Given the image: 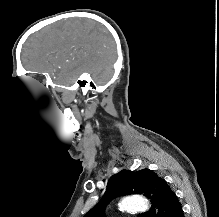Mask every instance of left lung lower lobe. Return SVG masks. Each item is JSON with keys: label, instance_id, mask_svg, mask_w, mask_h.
Masks as SVG:
<instances>
[{"label": "left lung lower lobe", "instance_id": "obj_1", "mask_svg": "<svg viewBox=\"0 0 219 217\" xmlns=\"http://www.w3.org/2000/svg\"><path fill=\"white\" fill-rule=\"evenodd\" d=\"M172 217H184V213H183L181 205L177 206V208H176L174 214L172 215Z\"/></svg>", "mask_w": 219, "mask_h": 217}]
</instances>
